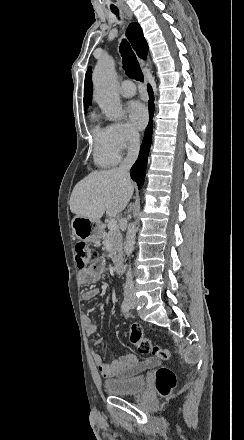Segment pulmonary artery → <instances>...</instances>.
<instances>
[{
  "instance_id": "obj_1",
  "label": "pulmonary artery",
  "mask_w": 244,
  "mask_h": 440,
  "mask_svg": "<svg viewBox=\"0 0 244 440\" xmlns=\"http://www.w3.org/2000/svg\"><path fill=\"white\" fill-rule=\"evenodd\" d=\"M120 93L122 96L130 98L136 94V89L134 88L133 83L128 82L125 85V90H121Z\"/></svg>"
}]
</instances>
